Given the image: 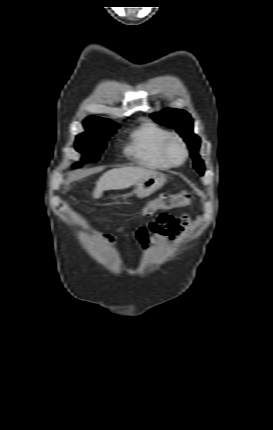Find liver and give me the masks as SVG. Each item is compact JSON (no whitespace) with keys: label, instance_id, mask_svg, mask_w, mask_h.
I'll return each mask as SVG.
<instances>
[{"label":"liver","instance_id":"obj_1","mask_svg":"<svg viewBox=\"0 0 273 430\" xmlns=\"http://www.w3.org/2000/svg\"><path fill=\"white\" fill-rule=\"evenodd\" d=\"M153 171L141 167H122L105 172L98 180L93 192V197L98 199L103 191L129 188L136 184L144 176Z\"/></svg>","mask_w":273,"mask_h":430}]
</instances>
